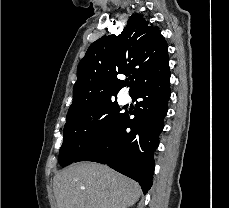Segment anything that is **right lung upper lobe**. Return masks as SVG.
I'll return each instance as SVG.
<instances>
[{
	"label": "right lung upper lobe",
	"mask_w": 229,
	"mask_h": 208,
	"mask_svg": "<svg viewBox=\"0 0 229 208\" xmlns=\"http://www.w3.org/2000/svg\"><path fill=\"white\" fill-rule=\"evenodd\" d=\"M168 46L158 27L140 14L132 15L118 36H103L88 48L77 68L73 102L67 118L87 112L116 96L126 83L118 74L130 76L129 94L167 69Z\"/></svg>",
	"instance_id": "1"
}]
</instances>
